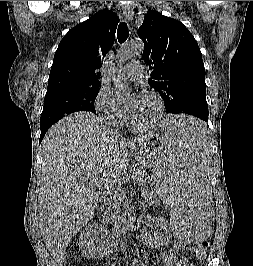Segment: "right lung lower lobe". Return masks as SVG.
Listing matches in <instances>:
<instances>
[{"instance_id":"right-lung-lower-lobe-1","label":"right lung lower lobe","mask_w":253,"mask_h":266,"mask_svg":"<svg viewBox=\"0 0 253 266\" xmlns=\"http://www.w3.org/2000/svg\"><path fill=\"white\" fill-rule=\"evenodd\" d=\"M49 128H50V127H49ZM49 128H41V135H40V140H39L40 142L42 141V139H43L45 133L47 132V130H48Z\"/></svg>"}]
</instances>
